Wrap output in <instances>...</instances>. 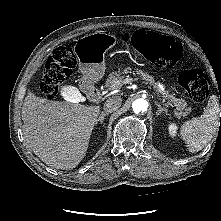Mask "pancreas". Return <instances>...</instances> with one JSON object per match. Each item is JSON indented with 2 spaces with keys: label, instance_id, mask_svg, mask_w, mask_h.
Returning <instances> with one entry per match:
<instances>
[{
  "label": "pancreas",
  "instance_id": "obj_1",
  "mask_svg": "<svg viewBox=\"0 0 221 221\" xmlns=\"http://www.w3.org/2000/svg\"><path fill=\"white\" fill-rule=\"evenodd\" d=\"M137 76L143 80L144 83L149 84L154 88H158V83L155 79L147 73H143L141 70L136 71ZM132 73L131 68L124 69L123 71L112 72L108 75L105 86L109 89H115L121 87L125 80L129 77L127 74ZM163 97L167 100V105L175 107L177 110L178 117L187 116L192 108L188 107L187 102L183 99L176 98L174 94H169L168 92H161Z\"/></svg>",
  "mask_w": 221,
  "mask_h": 221
}]
</instances>
